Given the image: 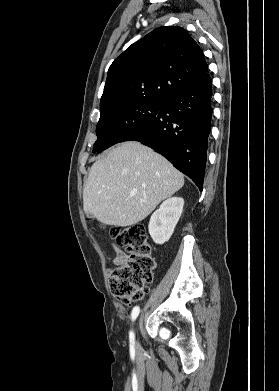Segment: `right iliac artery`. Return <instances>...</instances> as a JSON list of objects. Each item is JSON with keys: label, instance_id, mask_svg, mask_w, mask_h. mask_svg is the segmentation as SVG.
<instances>
[{"label": "right iliac artery", "instance_id": "obj_1", "mask_svg": "<svg viewBox=\"0 0 279 391\" xmlns=\"http://www.w3.org/2000/svg\"><path fill=\"white\" fill-rule=\"evenodd\" d=\"M139 312H140L139 307L135 306L132 310V313H131L132 321H134L137 318V316L139 315ZM130 345L134 346V333L132 331H130Z\"/></svg>", "mask_w": 279, "mask_h": 391}]
</instances>
